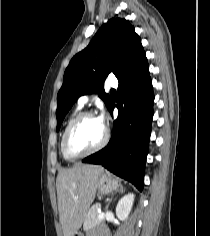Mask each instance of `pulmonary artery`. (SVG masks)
Listing matches in <instances>:
<instances>
[{"label": "pulmonary artery", "instance_id": "obj_1", "mask_svg": "<svg viewBox=\"0 0 210 236\" xmlns=\"http://www.w3.org/2000/svg\"><path fill=\"white\" fill-rule=\"evenodd\" d=\"M108 85L111 87H117L118 86V80L114 77V76H110L108 78ZM90 99V95L89 94H85L82 95L79 99H78V104L80 106H84Z\"/></svg>", "mask_w": 210, "mask_h": 236}]
</instances>
